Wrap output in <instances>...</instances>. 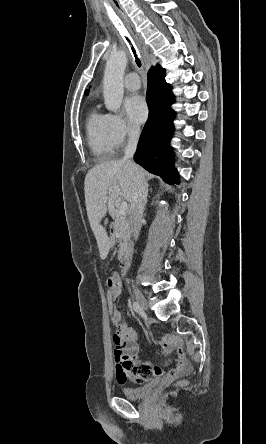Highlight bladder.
Wrapping results in <instances>:
<instances>
[{
    "mask_svg": "<svg viewBox=\"0 0 266 444\" xmlns=\"http://www.w3.org/2000/svg\"><path fill=\"white\" fill-rule=\"evenodd\" d=\"M159 384L158 379H154L140 388H124L123 395L130 400H141L150 394Z\"/></svg>",
    "mask_w": 266,
    "mask_h": 444,
    "instance_id": "1",
    "label": "bladder"
}]
</instances>
